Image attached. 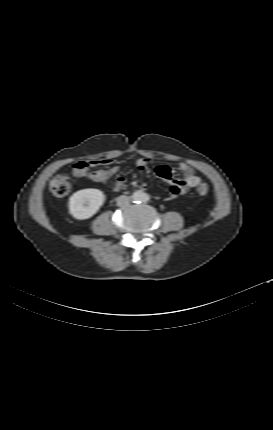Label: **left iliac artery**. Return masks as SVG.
<instances>
[{"label": "left iliac artery", "mask_w": 273, "mask_h": 430, "mask_svg": "<svg viewBox=\"0 0 273 430\" xmlns=\"http://www.w3.org/2000/svg\"><path fill=\"white\" fill-rule=\"evenodd\" d=\"M149 198H150V196H149V195H146V196H145V198H144V201H148V200H149Z\"/></svg>", "instance_id": "obj_1"}]
</instances>
